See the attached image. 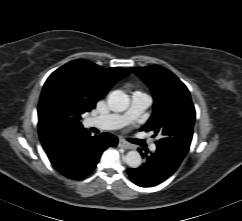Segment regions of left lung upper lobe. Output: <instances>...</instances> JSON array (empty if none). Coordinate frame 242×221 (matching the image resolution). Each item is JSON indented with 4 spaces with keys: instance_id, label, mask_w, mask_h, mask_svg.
Instances as JSON below:
<instances>
[{
    "instance_id": "left-lung-upper-lobe-1",
    "label": "left lung upper lobe",
    "mask_w": 242,
    "mask_h": 221,
    "mask_svg": "<svg viewBox=\"0 0 242 221\" xmlns=\"http://www.w3.org/2000/svg\"><path fill=\"white\" fill-rule=\"evenodd\" d=\"M132 70L150 87L154 97L153 114L140 130L160 135L157 146L170 147L186 155L195 121L189 90L171 71L159 65Z\"/></svg>"
}]
</instances>
